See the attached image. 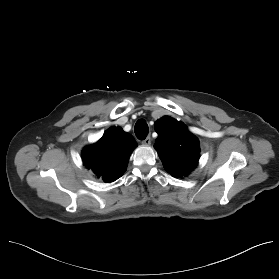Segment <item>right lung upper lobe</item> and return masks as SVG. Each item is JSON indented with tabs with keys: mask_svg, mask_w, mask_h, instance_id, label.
Wrapping results in <instances>:
<instances>
[{
	"mask_svg": "<svg viewBox=\"0 0 279 279\" xmlns=\"http://www.w3.org/2000/svg\"><path fill=\"white\" fill-rule=\"evenodd\" d=\"M136 146L130 134L120 127H111L99 141L83 149V164L104 182H113L126 171L130 154Z\"/></svg>",
	"mask_w": 279,
	"mask_h": 279,
	"instance_id": "1",
	"label": "right lung upper lobe"
}]
</instances>
